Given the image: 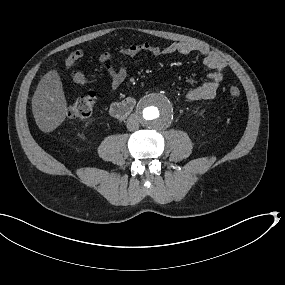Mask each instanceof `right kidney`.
<instances>
[{"label": "right kidney", "instance_id": "right-kidney-1", "mask_svg": "<svg viewBox=\"0 0 285 285\" xmlns=\"http://www.w3.org/2000/svg\"><path fill=\"white\" fill-rule=\"evenodd\" d=\"M79 137L81 138V139H86V137H85V135L83 134V133H81L80 135H79Z\"/></svg>", "mask_w": 285, "mask_h": 285}]
</instances>
